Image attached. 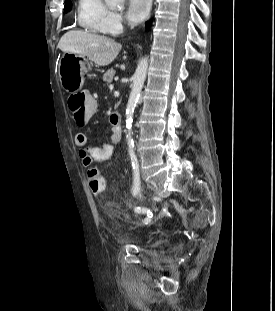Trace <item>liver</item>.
<instances>
[{
	"instance_id": "liver-1",
	"label": "liver",
	"mask_w": 275,
	"mask_h": 311,
	"mask_svg": "<svg viewBox=\"0 0 275 311\" xmlns=\"http://www.w3.org/2000/svg\"><path fill=\"white\" fill-rule=\"evenodd\" d=\"M58 47L64 53L80 54L98 66H107L115 60L122 45L88 31H68L61 37Z\"/></svg>"
}]
</instances>
